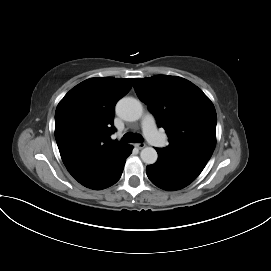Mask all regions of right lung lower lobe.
<instances>
[{
    "instance_id": "98d812e1",
    "label": "right lung lower lobe",
    "mask_w": 271,
    "mask_h": 271,
    "mask_svg": "<svg viewBox=\"0 0 271 271\" xmlns=\"http://www.w3.org/2000/svg\"><path fill=\"white\" fill-rule=\"evenodd\" d=\"M132 149V146L127 145L97 177L82 185L90 189L101 190L115 184L121 177L125 160L132 153Z\"/></svg>"
}]
</instances>
